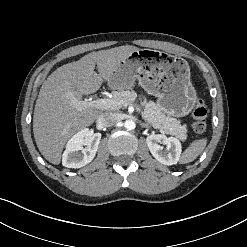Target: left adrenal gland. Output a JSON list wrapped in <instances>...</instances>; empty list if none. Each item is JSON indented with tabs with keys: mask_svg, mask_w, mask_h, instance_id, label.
I'll use <instances>...</instances> for the list:
<instances>
[{
	"mask_svg": "<svg viewBox=\"0 0 247 247\" xmlns=\"http://www.w3.org/2000/svg\"><path fill=\"white\" fill-rule=\"evenodd\" d=\"M140 125H141L142 128H149V125L148 124L141 123Z\"/></svg>",
	"mask_w": 247,
	"mask_h": 247,
	"instance_id": "1",
	"label": "left adrenal gland"
}]
</instances>
